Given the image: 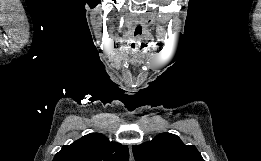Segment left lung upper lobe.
<instances>
[{
  "label": "left lung upper lobe",
  "instance_id": "5c2ea615",
  "mask_svg": "<svg viewBox=\"0 0 261 161\" xmlns=\"http://www.w3.org/2000/svg\"><path fill=\"white\" fill-rule=\"evenodd\" d=\"M132 148L136 161H204L195 146L185 145L170 133H161L152 141Z\"/></svg>",
  "mask_w": 261,
  "mask_h": 161
}]
</instances>
